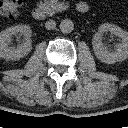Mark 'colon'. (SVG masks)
Returning a JSON list of instances; mask_svg holds the SVG:
<instances>
[{"mask_svg":"<svg viewBox=\"0 0 128 128\" xmlns=\"http://www.w3.org/2000/svg\"><path fill=\"white\" fill-rule=\"evenodd\" d=\"M23 0H0V16L13 20L17 17Z\"/></svg>","mask_w":128,"mask_h":128,"instance_id":"colon-1","label":"colon"}]
</instances>
